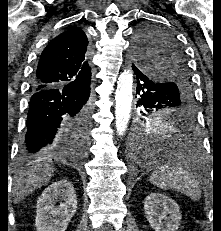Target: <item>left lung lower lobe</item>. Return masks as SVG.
Here are the masks:
<instances>
[{
  "instance_id": "1",
  "label": "left lung lower lobe",
  "mask_w": 221,
  "mask_h": 231,
  "mask_svg": "<svg viewBox=\"0 0 221 231\" xmlns=\"http://www.w3.org/2000/svg\"><path fill=\"white\" fill-rule=\"evenodd\" d=\"M132 68L137 79L136 93L139 95L136 106L150 100L167 87L164 83L153 82L134 64ZM176 129H170L164 134L153 135L147 141H142L138 133L132 139V154L144 161L158 160L159 152L168 151L171 154L168 161L178 163L181 166L192 164V156L200 150L198 136L196 134V122L192 116H187L176 122Z\"/></svg>"
}]
</instances>
